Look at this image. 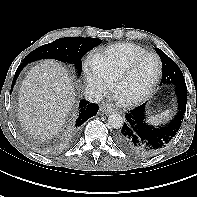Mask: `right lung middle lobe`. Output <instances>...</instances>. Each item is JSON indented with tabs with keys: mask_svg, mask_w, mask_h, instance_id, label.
I'll use <instances>...</instances> for the list:
<instances>
[{
	"mask_svg": "<svg viewBox=\"0 0 197 197\" xmlns=\"http://www.w3.org/2000/svg\"><path fill=\"white\" fill-rule=\"evenodd\" d=\"M98 38L65 37L45 44L30 52L24 62L51 58L75 65L78 75L82 70L81 59L85 53L101 44Z\"/></svg>",
	"mask_w": 197,
	"mask_h": 197,
	"instance_id": "1",
	"label": "right lung middle lobe"
}]
</instances>
